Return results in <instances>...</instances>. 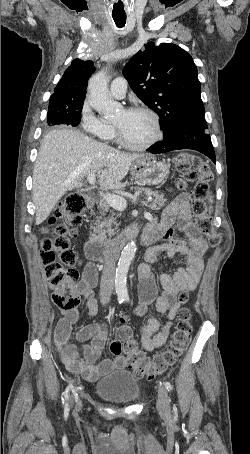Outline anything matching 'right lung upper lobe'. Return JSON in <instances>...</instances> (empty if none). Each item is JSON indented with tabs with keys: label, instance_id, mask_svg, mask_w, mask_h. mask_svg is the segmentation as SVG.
I'll list each match as a JSON object with an SVG mask.
<instances>
[{
	"label": "right lung upper lobe",
	"instance_id": "1",
	"mask_svg": "<svg viewBox=\"0 0 250 454\" xmlns=\"http://www.w3.org/2000/svg\"><path fill=\"white\" fill-rule=\"evenodd\" d=\"M95 72L92 61L75 59L66 69L50 98L85 99L88 78Z\"/></svg>",
	"mask_w": 250,
	"mask_h": 454
}]
</instances>
